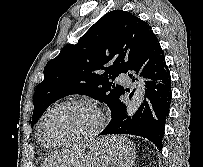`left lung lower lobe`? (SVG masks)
Returning <instances> with one entry per match:
<instances>
[{
    "instance_id": "left-lung-lower-lobe-1",
    "label": "left lung lower lobe",
    "mask_w": 203,
    "mask_h": 167,
    "mask_svg": "<svg viewBox=\"0 0 203 167\" xmlns=\"http://www.w3.org/2000/svg\"><path fill=\"white\" fill-rule=\"evenodd\" d=\"M143 76L145 81V98L132 119L128 117L127 104L118 100L112 108V118L107 127L99 134H130L141 136L152 141L159 150L166 119L172 98L171 76L165 62V56L157 39L142 53L128 74L132 81L138 80L136 74ZM133 92L125 89L123 94Z\"/></svg>"
}]
</instances>
